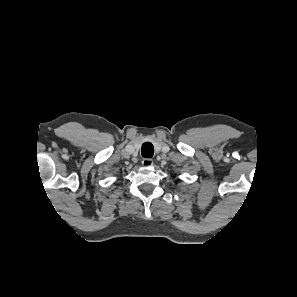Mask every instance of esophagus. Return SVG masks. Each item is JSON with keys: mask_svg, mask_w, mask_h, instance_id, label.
I'll use <instances>...</instances> for the list:
<instances>
[{"mask_svg": "<svg viewBox=\"0 0 297 297\" xmlns=\"http://www.w3.org/2000/svg\"><path fill=\"white\" fill-rule=\"evenodd\" d=\"M153 164H154V162L150 158H145V159L142 160V165L143 166L149 167V166H152Z\"/></svg>", "mask_w": 297, "mask_h": 297, "instance_id": "obj_1", "label": "esophagus"}]
</instances>
